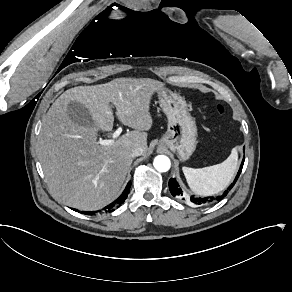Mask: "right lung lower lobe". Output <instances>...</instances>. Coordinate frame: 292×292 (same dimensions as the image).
<instances>
[{
	"mask_svg": "<svg viewBox=\"0 0 292 292\" xmlns=\"http://www.w3.org/2000/svg\"><path fill=\"white\" fill-rule=\"evenodd\" d=\"M130 187H131V181L128 182L121 196L117 200H115L114 202H112L111 204H109L108 206L104 208L105 211H108V212L113 211L115 207H118L119 205H121L127 198L130 191ZM73 210L77 211L76 209H73ZM82 213L87 214V215H93L95 212L82 211Z\"/></svg>",
	"mask_w": 292,
	"mask_h": 292,
	"instance_id": "obj_1",
	"label": "right lung lower lobe"
}]
</instances>
